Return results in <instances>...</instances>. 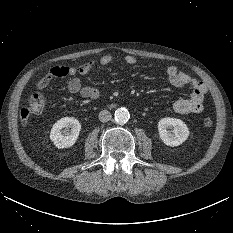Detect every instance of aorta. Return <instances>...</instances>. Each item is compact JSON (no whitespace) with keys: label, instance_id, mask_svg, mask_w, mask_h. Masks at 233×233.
I'll return each instance as SVG.
<instances>
[{"label":"aorta","instance_id":"762f6f07","mask_svg":"<svg viewBox=\"0 0 233 233\" xmlns=\"http://www.w3.org/2000/svg\"><path fill=\"white\" fill-rule=\"evenodd\" d=\"M115 120L120 123V124H124L129 120V112L126 108H118L115 111Z\"/></svg>","mask_w":233,"mask_h":233}]
</instances>
